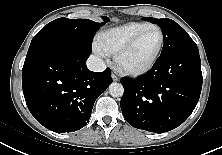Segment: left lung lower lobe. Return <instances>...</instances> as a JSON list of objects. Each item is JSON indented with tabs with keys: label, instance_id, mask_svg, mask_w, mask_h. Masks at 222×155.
Here are the masks:
<instances>
[{
	"label": "left lung lower lobe",
	"instance_id": "0a47b994",
	"mask_svg": "<svg viewBox=\"0 0 222 155\" xmlns=\"http://www.w3.org/2000/svg\"><path fill=\"white\" fill-rule=\"evenodd\" d=\"M198 49L169 52L137 79H121L124 118L138 129L155 133L181 125L196 107L202 88Z\"/></svg>",
	"mask_w": 222,
	"mask_h": 155
}]
</instances>
